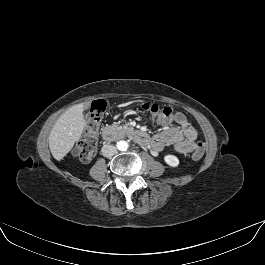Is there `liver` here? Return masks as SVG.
<instances>
[{
  "instance_id": "obj_1",
  "label": "liver",
  "mask_w": 265,
  "mask_h": 265,
  "mask_svg": "<svg viewBox=\"0 0 265 265\" xmlns=\"http://www.w3.org/2000/svg\"><path fill=\"white\" fill-rule=\"evenodd\" d=\"M83 104H77L62 114L49 134V148L52 156L60 161L79 141L85 127Z\"/></svg>"
}]
</instances>
